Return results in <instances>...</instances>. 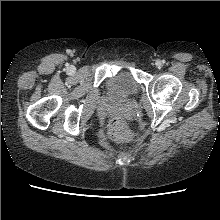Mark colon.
Listing matches in <instances>:
<instances>
[{
  "label": "colon",
  "mask_w": 220,
  "mask_h": 220,
  "mask_svg": "<svg viewBox=\"0 0 220 220\" xmlns=\"http://www.w3.org/2000/svg\"><path fill=\"white\" fill-rule=\"evenodd\" d=\"M110 133L115 140L120 142H129L132 140V134L130 130L128 129L125 122L119 117H115L112 120Z\"/></svg>",
  "instance_id": "1"
}]
</instances>
